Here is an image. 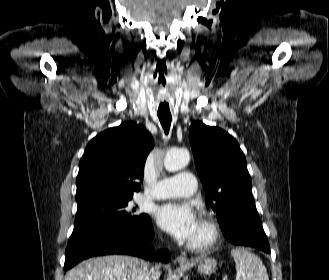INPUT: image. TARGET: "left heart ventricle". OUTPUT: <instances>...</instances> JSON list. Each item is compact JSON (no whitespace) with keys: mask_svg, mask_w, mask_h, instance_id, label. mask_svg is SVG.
Masks as SVG:
<instances>
[{"mask_svg":"<svg viewBox=\"0 0 329 280\" xmlns=\"http://www.w3.org/2000/svg\"><path fill=\"white\" fill-rule=\"evenodd\" d=\"M204 238V231L199 223L197 231L194 235V237L192 238L191 242H198L200 240H202Z\"/></svg>","mask_w":329,"mask_h":280,"instance_id":"b2bd125f","label":"left heart ventricle"}]
</instances>
